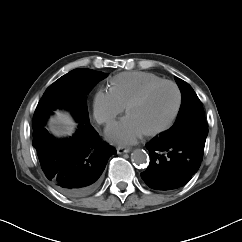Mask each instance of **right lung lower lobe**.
Listing matches in <instances>:
<instances>
[{
  "instance_id": "right-lung-lower-lobe-1",
  "label": "right lung lower lobe",
  "mask_w": 242,
  "mask_h": 242,
  "mask_svg": "<svg viewBox=\"0 0 242 242\" xmlns=\"http://www.w3.org/2000/svg\"><path fill=\"white\" fill-rule=\"evenodd\" d=\"M76 133L56 139L43 125L33 127V147L42 170L50 183L71 197L92 193L108 159L116 150L100 141L99 134L88 122H78Z\"/></svg>"
}]
</instances>
